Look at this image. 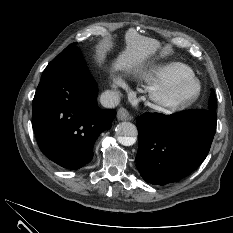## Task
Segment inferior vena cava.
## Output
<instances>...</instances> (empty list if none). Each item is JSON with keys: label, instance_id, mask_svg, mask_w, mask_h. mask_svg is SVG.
<instances>
[{"label": "inferior vena cava", "instance_id": "obj_1", "mask_svg": "<svg viewBox=\"0 0 233 233\" xmlns=\"http://www.w3.org/2000/svg\"><path fill=\"white\" fill-rule=\"evenodd\" d=\"M100 102L106 108H114L120 103V95L115 91L107 90L101 94Z\"/></svg>", "mask_w": 233, "mask_h": 233}]
</instances>
